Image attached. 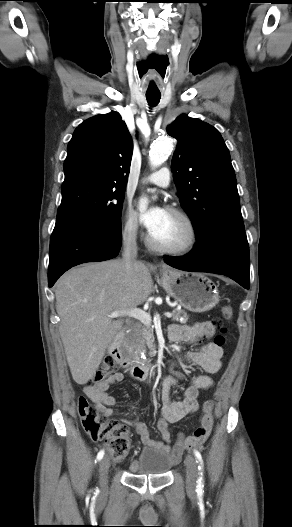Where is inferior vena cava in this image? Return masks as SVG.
<instances>
[{
    "mask_svg": "<svg viewBox=\"0 0 292 527\" xmlns=\"http://www.w3.org/2000/svg\"><path fill=\"white\" fill-rule=\"evenodd\" d=\"M136 228H130L123 234L122 260L127 272L131 270L133 261L137 258Z\"/></svg>",
    "mask_w": 292,
    "mask_h": 527,
    "instance_id": "inferior-vena-cava-1",
    "label": "inferior vena cava"
}]
</instances>
